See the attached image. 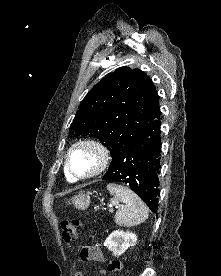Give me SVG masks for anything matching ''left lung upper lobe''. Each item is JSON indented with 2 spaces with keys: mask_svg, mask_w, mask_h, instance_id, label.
Returning <instances> with one entry per match:
<instances>
[{
  "mask_svg": "<svg viewBox=\"0 0 221 276\" xmlns=\"http://www.w3.org/2000/svg\"><path fill=\"white\" fill-rule=\"evenodd\" d=\"M159 115L158 95L150 78L139 69L122 67L88 92L70 133L74 137H95L113 156Z\"/></svg>",
  "mask_w": 221,
  "mask_h": 276,
  "instance_id": "1",
  "label": "left lung upper lobe"
}]
</instances>
